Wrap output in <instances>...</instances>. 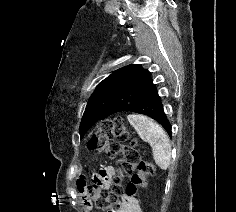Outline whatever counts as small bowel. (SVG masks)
<instances>
[{
    "label": "small bowel",
    "mask_w": 236,
    "mask_h": 212,
    "mask_svg": "<svg viewBox=\"0 0 236 212\" xmlns=\"http://www.w3.org/2000/svg\"><path fill=\"white\" fill-rule=\"evenodd\" d=\"M112 173H113V169L109 168L106 171L105 175L101 177L100 181L104 184L105 181L108 179L109 175H111ZM79 189L82 194H85L84 192L85 189L82 182L79 184ZM84 205L86 206L88 210H90L91 206L88 201H85ZM115 212H141V209H140L137 199L126 196V197H123L119 208Z\"/></svg>",
    "instance_id": "obj_1"
}]
</instances>
